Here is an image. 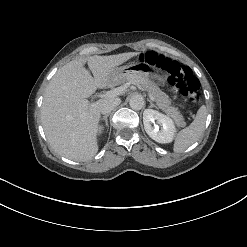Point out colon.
I'll return each mask as SVG.
<instances>
[{"instance_id": "obj_1", "label": "colon", "mask_w": 247, "mask_h": 247, "mask_svg": "<svg viewBox=\"0 0 247 247\" xmlns=\"http://www.w3.org/2000/svg\"><path fill=\"white\" fill-rule=\"evenodd\" d=\"M140 60L165 71L168 75L169 83L177 87L181 95L188 101L193 104H197L200 101V82L189 67L155 52H148L142 55Z\"/></svg>"}]
</instances>
